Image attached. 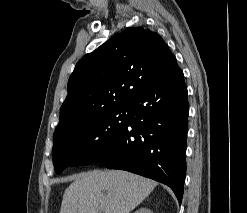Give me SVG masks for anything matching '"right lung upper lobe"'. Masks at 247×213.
Returning <instances> with one entry per match:
<instances>
[{
	"mask_svg": "<svg viewBox=\"0 0 247 213\" xmlns=\"http://www.w3.org/2000/svg\"><path fill=\"white\" fill-rule=\"evenodd\" d=\"M178 68L175 56L157 33L142 27L124 30L76 64L53 138L130 102Z\"/></svg>",
	"mask_w": 247,
	"mask_h": 213,
	"instance_id": "1",
	"label": "right lung upper lobe"
}]
</instances>
